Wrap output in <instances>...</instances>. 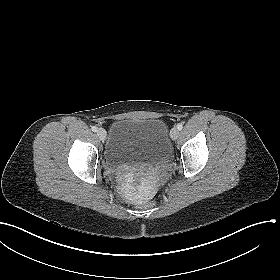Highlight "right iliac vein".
I'll list each match as a JSON object with an SVG mask.
<instances>
[{"label":"right iliac vein","instance_id":"1","mask_svg":"<svg viewBox=\"0 0 280 280\" xmlns=\"http://www.w3.org/2000/svg\"><path fill=\"white\" fill-rule=\"evenodd\" d=\"M97 135L101 140H105L107 136L106 131L103 128L97 130Z\"/></svg>","mask_w":280,"mask_h":280}]
</instances>
